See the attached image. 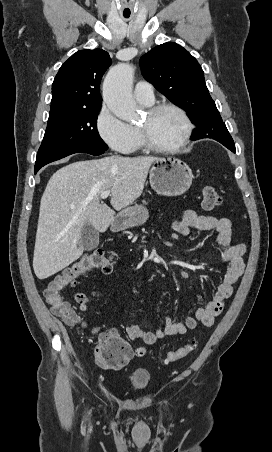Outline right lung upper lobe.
I'll return each mask as SVG.
<instances>
[{"instance_id": "right-lung-upper-lobe-1", "label": "right lung upper lobe", "mask_w": 272, "mask_h": 452, "mask_svg": "<svg viewBox=\"0 0 272 452\" xmlns=\"http://www.w3.org/2000/svg\"><path fill=\"white\" fill-rule=\"evenodd\" d=\"M102 49L80 50L59 69L52 84L50 114L100 108V82L111 65Z\"/></svg>"}]
</instances>
